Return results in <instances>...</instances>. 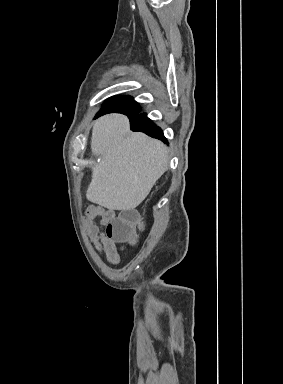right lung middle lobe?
Listing matches in <instances>:
<instances>
[{"label":"right lung middle lobe","mask_w":283,"mask_h":384,"mask_svg":"<svg viewBox=\"0 0 283 384\" xmlns=\"http://www.w3.org/2000/svg\"><path fill=\"white\" fill-rule=\"evenodd\" d=\"M116 107H128L139 110V106L133 100V98L127 96H116L106 100L102 106V109H111Z\"/></svg>","instance_id":"obj_1"}]
</instances>
